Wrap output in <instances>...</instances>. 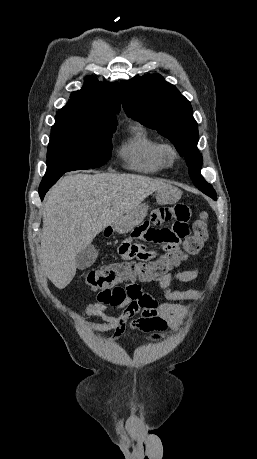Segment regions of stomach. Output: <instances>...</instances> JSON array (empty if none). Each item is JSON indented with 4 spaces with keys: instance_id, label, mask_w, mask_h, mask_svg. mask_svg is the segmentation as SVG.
<instances>
[{
    "instance_id": "stomach-1",
    "label": "stomach",
    "mask_w": 257,
    "mask_h": 459,
    "mask_svg": "<svg viewBox=\"0 0 257 459\" xmlns=\"http://www.w3.org/2000/svg\"><path fill=\"white\" fill-rule=\"evenodd\" d=\"M181 191L175 186H168L157 190L156 201L160 205L173 204L175 200H179ZM149 206L147 203H142L136 208L128 211L122 217L116 219L112 224V229L119 233L125 234L130 232L138 223H142L147 216Z\"/></svg>"
}]
</instances>
